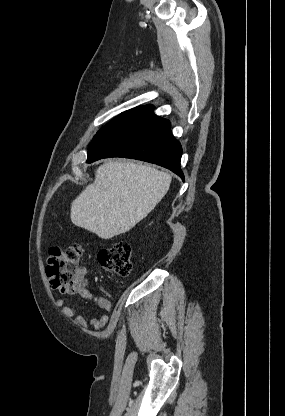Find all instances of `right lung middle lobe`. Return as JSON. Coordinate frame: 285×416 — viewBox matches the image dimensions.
Wrapping results in <instances>:
<instances>
[{"label": "right lung middle lobe", "mask_w": 285, "mask_h": 416, "mask_svg": "<svg viewBox=\"0 0 285 416\" xmlns=\"http://www.w3.org/2000/svg\"><path fill=\"white\" fill-rule=\"evenodd\" d=\"M153 108L154 106L152 105L140 106L125 111L116 116L97 132L88 149H91L92 147L120 132L121 130L154 115Z\"/></svg>", "instance_id": "right-lung-middle-lobe-1"}]
</instances>
